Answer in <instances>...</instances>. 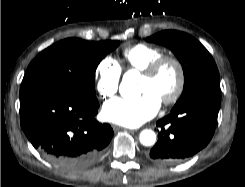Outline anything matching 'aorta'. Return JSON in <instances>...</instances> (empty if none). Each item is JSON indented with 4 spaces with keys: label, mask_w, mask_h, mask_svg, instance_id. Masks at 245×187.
<instances>
[{
    "label": "aorta",
    "mask_w": 245,
    "mask_h": 187,
    "mask_svg": "<svg viewBox=\"0 0 245 187\" xmlns=\"http://www.w3.org/2000/svg\"><path fill=\"white\" fill-rule=\"evenodd\" d=\"M138 78H132L128 73L123 76L119 87L120 94L127 100H136L140 97L138 87ZM140 142L144 146H151L156 142V134L149 129H145L140 133Z\"/></svg>",
    "instance_id": "1"
}]
</instances>
